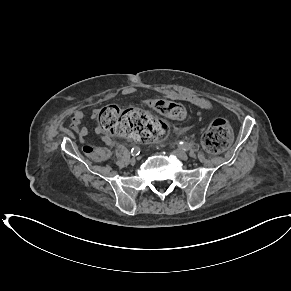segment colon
Returning a JSON list of instances; mask_svg holds the SVG:
<instances>
[{
	"instance_id": "1",
	"label": "colon",
	"mask_w": 291,
	"mask_h": 291,
	"mask_svg": "<svg viewBox=\"0 0 291 291\" xmlns=\"http://www.w3.org/2000/svg\"><path fill=\"white\" fill-rule=\"evenodd\" d=\"M148 105L168 118L183 119L186 116L182 105L165 98H153ZM98 122L102 131L141 142L156 140L167 127L162 120L147 111L138 108L122 110L116 105L102 108L98 114ZM231 140L232 128L229 122L225 118H216L210 123L202 142L207 151L220 153L229 146ZM83 150L86 155L96 160H102L108 154L105 149L93 145H86Z\"/></svg>"
}]
</instances>
